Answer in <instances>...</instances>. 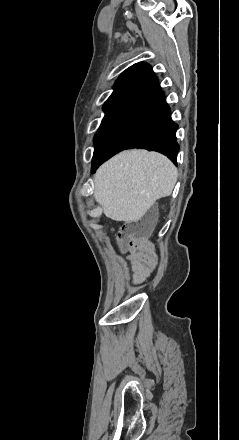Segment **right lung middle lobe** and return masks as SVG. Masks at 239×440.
Listing matches in <instances>:
<instances>
[{
    "label": "right lung middle lobe",
    "mask_w": 239,
    "mask_h": 440,
    "mask_svg": "<svg viewBox=\"0 0 239 440\" xmlns=\"http://www.w3.org/2000/svg\"><path fill=\"white\" fill-rule=\"evenodd\" d=\"M129 103L130 101L122 100L104 104L103 111L105 112V117L100 128L94 136L95 150L98 148L103 138L115 125Z\"/></svg>",
    "instance_id": "right-lung-middle-lobe-1"
}]
</instances>
